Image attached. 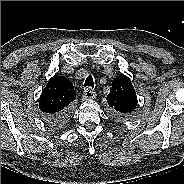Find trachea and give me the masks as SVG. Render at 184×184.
Listing matches in <instances>:
<instances>
[{
	"mask_svg": "<svg viewBox=\"0 0 184 184\" xmlns=\"http://www.w3.org/2000/svg\"><path fill=\"white\" fill-rule=\"evenodd\" d=\"M84 86L94 88V81L91 75L86 78Z\"/></svg>",
	"mask_w": 184,
	"mask_h": 184,
	"instance_id": "trachea-1",
	"label": "trachea"
}]
</instances>
